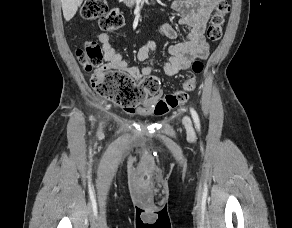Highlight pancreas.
<instances>
[{"label": "pancreas", "instance_id": "cf45deb5", "mask_svg": "<svg viewBox=\"0 0 292 228\" xmlns=\"http://www.w3.org/2000/svg\"><path fill=\"white\" fill-rule=\"evenodd\" d=\"M123 2H126L128 4H133L134 3V0H122Z\"/></svg>", "mask_w": 292, "mask_h": 228}]
</instances>
